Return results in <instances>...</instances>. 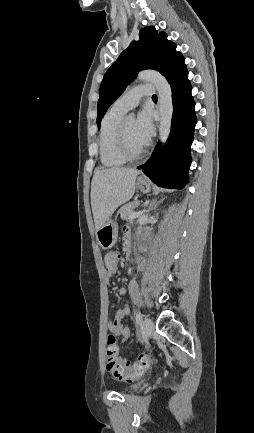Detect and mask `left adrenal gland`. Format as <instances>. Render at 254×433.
<instances>
[{
    "label": "left adrenal gland",
    "instance_id": "a2214340",
    "mask_svg": "<svg viewBox=\"0 0 254 433\" xmlns=\"http://www.w3.org/2000/svg\"><path fill=\"white\" fill-rule=\"evenodd\" d=\"M163 200H164V199H161L159 202H157L156 199L153 200V201L151 202V204H150V208H149L148 212L151 211V210H155L156 207H157V205H158L160 202H162Z\"/></svg>",
    "mask_w": 254,
    "mask_h": 433
}]
</instances>
